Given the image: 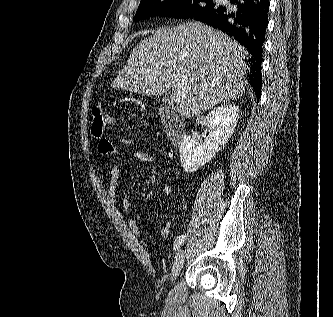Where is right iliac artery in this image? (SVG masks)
Listing matches in <instances>:
<instances>
[{
    "instance_id": "right-iliac-artery-1",
    "label": "right iliac artery",
    "mask_w": 333,
    "mask_h": 317,
    "mask_svg": "<svg viewBox=\"0 0 333 317\" xmlns=\"http://www.w3.org/2000/svg\"><path fill=\"white\" fill-rule=\"evenodd\" d=\"M186 239V236L185 235H181V236H178L174 242V250H178L180 248V246L184 243Z\"/></svg>"
}]
</instances>
